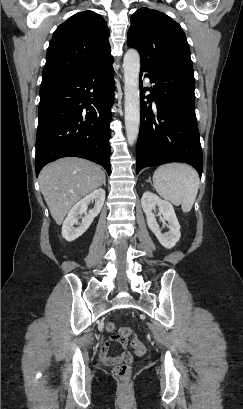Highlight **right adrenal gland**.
I'll return each mask as SVG.
<instances>
[{
  "label": "right adrenal gland",
  "mask_w": 243,
  "mask_h": 409,
  "mask_svg": "<svg viewBox=\"0 0 243 409\" xmlns=\"http://www.w3.org/2000/svg\"><path fill=\"white\" fill-rule=\"evenodd\" d=\"M102 184H103L104 186H106V179H105V177L103 178Z\"/></svg>",
  "instance_id": "1"
}]
</instances>
